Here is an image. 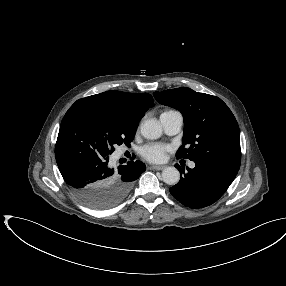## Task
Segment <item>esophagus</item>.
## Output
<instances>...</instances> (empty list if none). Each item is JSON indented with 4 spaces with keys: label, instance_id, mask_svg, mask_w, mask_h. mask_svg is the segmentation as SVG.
I'll return each mask as SVG.
<instances>
[{
    "label": "esophagus",
    "instance_id": "esophagus-1",
    "mask_svg": "<svg viewBox=\"0 0 286 286\" xmlns=\"http://www.w3.org/2000/svg\"><path fill=\"white\" fill-rule=\"evenodd\" d=\"M166 166L164 165H152L149 168L152 170H163Z\"/></svg>",
    "mask_w": 286,
    "mask_h": 286
}]
</instances>
